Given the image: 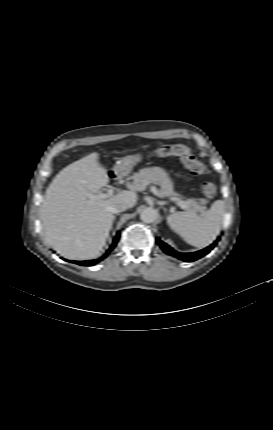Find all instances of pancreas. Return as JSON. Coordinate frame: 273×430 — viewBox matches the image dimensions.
<instances>
[{
	"label": "pancreas",
	"instance_id": "cf45deb5",
	"mask_svg": "<svg viewBox=\"0 0 273 430\" xmlns=\"http://www.w3.org/2000/svg\"><path fill=\"white\" fill-rule=\"evenodd\" d=\"M132 178L138 190H145L149 183H153L161 187V193L164 196H178L173 189V184L168 174L160 167L141 169L138 173H135ZM183 202L186 204L185 209H193L196 211H203L204 209L199 206L198 202L194 199ZM201 203H205V201L201 200Z\"/></svg>",
	"mask_w": 273,
	"mask_h": 430
}]
</instances>
